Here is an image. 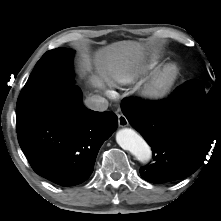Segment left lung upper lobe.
Listing matches in <instances>:
<instances>
[{
	"mask_svg": "<svg viewBox=\"0 0 221 221\" xmlns=\"http://www.w3.org/2000/svg\"><path fill=\"white\" fill-rule=\"evenodd\" d=\"M172 102L180 107H191V108H207L215 107L220 109L221 104V92L216 91L213 87L206 93L202 82L191 91L187 92H175L173 94Z\"/></svg>",
	"mask_w": 221,
	"mask_h": 221,
	"instance_id": "1",
	"label": "left lung upper lobe"
}]
</instances>
